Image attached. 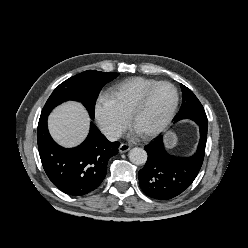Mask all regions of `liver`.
<instances>
[{
  "instance_id": "obj_1",
  "label": "liver",
  "mask_w": 248,
  "mask_h": 248,
  "mask_svg": "<svg viewBox=\"0 0 248 248\" xmlns=\"http://www.w3.org/2000/svg\"><path fill=\"white\" fill-rule=\"evenodd\" d=\"M89 116L78 102L58 106L49 116L48 127L53 139L64 147L80 144L89 131Z\"/></svg>"
}]
</instances>
